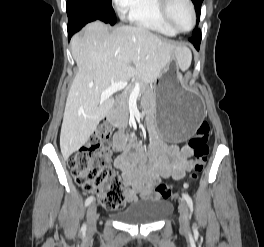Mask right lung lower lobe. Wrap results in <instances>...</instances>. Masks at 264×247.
I'll list each match as a JSON object with an SVG mask.
<instances>
[{
    "instance_id": "right-lung-lower-lobe-1",
    "label": "right lung lower lobe",
    "mask_w": 264,
    "mask_h": 247,
    "mask_svg": "<svg viewBox=\"0 0 264 247\" xmlns=\"http://www.w3.org/2000/svg\"><path fill=\"white\" fill-rule=\"evenodd\" d=\"M94 20H96L95 17L85 14H77L68 17V38L70 39L75 32Z\"/></svg>"
}]
</instances>
